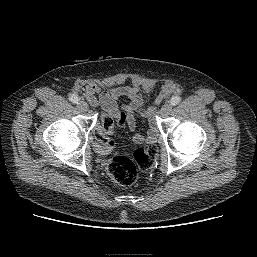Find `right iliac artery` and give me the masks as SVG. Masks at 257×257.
Segmentation results:
<instances>
[{"label":"right iliac artery","mask_w":257,"mask_h":257,"mask_svg":"<svg viewBox=\"0 0 257 257\" xmlns=\"http://www.w3.org/2000/svg\"><path fill=\"white\" fill-rule=\"evenodd\" d=\"M69 100H70L72 103H78L79 98H78L77 95L72 94V95L69 96Z\"/></svg>","instance_id":"82829eb1"}]
</instances>
